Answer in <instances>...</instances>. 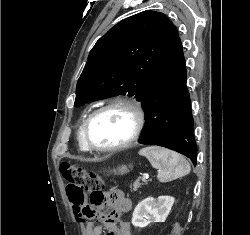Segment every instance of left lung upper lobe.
<instances>
[{
  "label": "left lung upper lobe",
  "instance_id": "left-lung-upper-lobe-1",
  "mask_svg": "<svg viewBox=\"0 0 250 235\" xmlns=\"http://www.w3.org/2000/svg\"><path fill=\"white\" fill-rule=\"evenodd\" d=\"M178 39L165 14L144 11L113 26L92 48L76 87V107L128 94L142 100Z\"/></svg>",
  "mask_w": 250,
  "mask_h": 235
}]
</instances>
